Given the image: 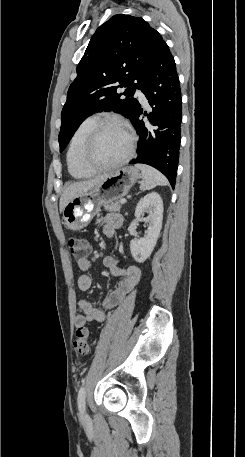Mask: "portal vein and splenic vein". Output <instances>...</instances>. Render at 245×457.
Returning a JSON list of instances; mask_svg holds the SVG:
<instances>
[{"label":"portal vein and splenic vein","instance_id":"1","mask_svg":"<svg viewBox=\"0 0 245 457\" xmlns=\"http://www.w3.org/2000/svg\"><path fill=\"white\" fill-rule=\"evenodd\" d=\"M119 202H126V198H120Z\"/></svg>","mask_w":245,"mask_h":457}]
</instances>
